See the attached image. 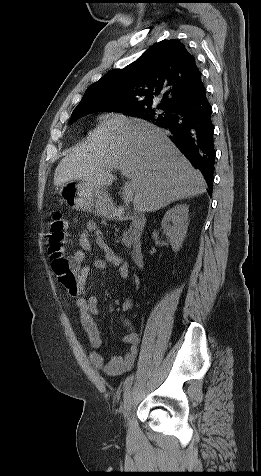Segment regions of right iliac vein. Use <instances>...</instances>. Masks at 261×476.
Returning <instances> with one entry per match:
<instances>
[{"mask_svg": "<svg viewBox=\"0 0 261 476\" xmlns=\"http://www.w3.org/2000/svg\"><path fill=\"white\" fill-rule=\"evenodd\" d=\"M133 405V390L130 387L124 396V418L127 419Z\"/></svg>", "mask_w": 261, "mask_h": 476, "instance_id": "1", "label": "right iliac vein"}]
</instances>
